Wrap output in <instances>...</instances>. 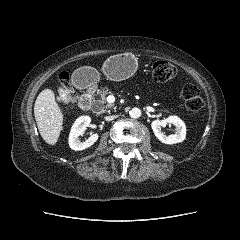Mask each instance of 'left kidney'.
Here are the masks:
<instances>
[{"instance_id":"obj_1","label":"left kidney","mask_w":240,"mask_h":240,"mask_svg":"<svg viewBox=\"0 0 240 240\" xmlns=\"http://www.w3.org/2000/svg\"><path fill=\"white\" fill-rule=\"evenodd\" d=\"M167 124H173L176 127L175 134L165 135L161 128ZM155 136L165 144H175L184 141L186 137V126L184 122L177 116H169L164 120H154L151 123Z\"/></svg>"}]
</instances>
